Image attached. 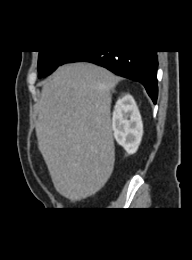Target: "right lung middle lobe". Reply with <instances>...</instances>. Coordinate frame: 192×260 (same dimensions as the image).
<instances>
[{"instance_id":"obj_1","label":"right lung middle lobe","mask_w":192,"mask_h":260,"mask_svg":"<svg viewBox=\"0 0 192 260\" xmlns=\"http://www.w3.org/2000/svg\"><path fill=\"white\" fill-rule=\"evenodd\" d=\"M68 51H39L38 77H45L51 74L69 54Z\"/></svg>"}]
</instances>
